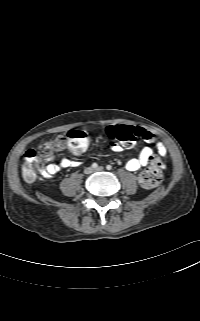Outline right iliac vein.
<instances>
[{"label": "right iliac vein", "mask_w": 200, "mask_h": 321, "mask_svg": "<svg viewBox=\"0 0 200 321\" xmlns=\"http://www.w3.org/2000/svg\"><path fill=\"white\" fill-rule=\"evenodd\" d=\"M85 174H91L93 172V169L91 167H87L85 170H84Z\"/></svg>", "instance_id": "63e3f726"}]
</instances>
